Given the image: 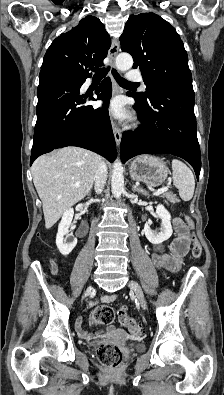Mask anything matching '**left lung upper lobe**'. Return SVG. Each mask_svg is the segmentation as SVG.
I'll list each match as a JSON object with an SVG mask.
<instances>
[{"instance_id": "left-lung-upper-lobe-1", "label": "left lung upper lobe", "mask_w": 224, "mask_h": 395, "mask_svg": "<svg viewBox=\"0 0 224 395\" xmlns=\"http://www.w3.org/2000/svg\"><path fill=\"white\" fill-rule=\"evenodd\" d=\"M121 49L140 67L147 86L135 93L147 101L162 92L193 91L187 52L175 28L154 13L131 15L120 37Z\"/></svg>"}]
</instances>
